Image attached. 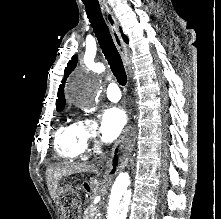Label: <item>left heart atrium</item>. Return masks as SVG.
Masks as SVG:
<instances>
[{
	"label": "left heart atrium",
	"instance_id": "39dd6f15",
	"mask_svg": "<svg viewBox=\"0 0 221 219\" xmlns=\"http://www.w3.org/2000/svg\"><path fill=\"white\" fill-rule=\"evenodd\" d=\"M127 122V113L121 107H111L103 115L101 133L107 140L115 139Z\"/></svg>",
	"mask_w": 221,
	"mask_h": 219
}]
</instances>
